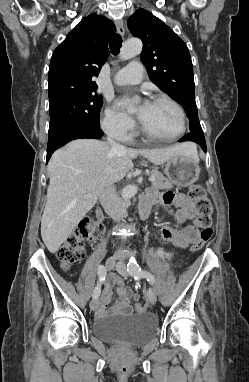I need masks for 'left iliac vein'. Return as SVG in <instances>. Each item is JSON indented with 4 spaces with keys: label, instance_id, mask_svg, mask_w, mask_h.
<instances>
[{
    "label": "left iliac vein",
    "instance_id": "1",
    "mask_svg": "<svg viewBox=\"0 0 249 382\" xmlns=\"http://www.w3.org/2000/svg\"><path fill=\"white\" fill-rule=\"evenodd\" d=\"M116 270L118 271L119 274H121L122 276L124 277H127L128 276V273H127V270H126V265L123 261H119L116 265ZM147 297H148V300L151 304H156L157 302V295H156V291L154 288H149L147 290Z\"/></svg>",
    "mask_w": 249,
    "mask_h": 382
}]
</instances>
